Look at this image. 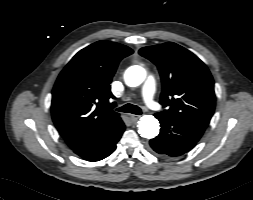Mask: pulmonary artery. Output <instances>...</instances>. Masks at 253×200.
<instances>
[{"label": "pulmonary artery", "mask_w": 253, "mask_h": 200, "mask_svg": "<svg viewBox=\"0 0 253 200\" xmlns=\"http://www.w3.org/2000/svg\"><path fill=\"white\" fill-rule=\"evenodd\" d=\"M155 90V79L152 76H149L142 88V98L145 104L151 109H157V104L154 101Z\"/></svg>", "instance_id": "obj_1"}]
</instances>
